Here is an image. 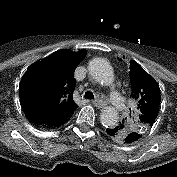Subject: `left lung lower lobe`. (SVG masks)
<instances>
[{"label":"left lung lower lobe","mask_w":177,"mask_h":177,"mask_svg":"<svg viewBox=\"0 0 177 177\" xmlns=\"http://www.w3.org/2000/svg\"><path fill=\"white\" fill-rule=\"evenodd\" d=\"M107 134L112 138L115 139L119 134V128L117 126L110 127L106 130ZM142 135L138 132H130L126 134L120 141L126 144H131L138 141Z\"/></svg>","instance_id":"0a47b994"}]
</instances>
